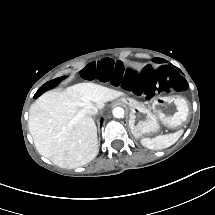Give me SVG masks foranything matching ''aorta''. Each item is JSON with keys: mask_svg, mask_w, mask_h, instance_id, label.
<instances>
[{"mask_svg": "<svg viewBox=\"0 0 215 215\" xmlns=\"http://www.w3.org/2000/svg\"><path fill=\"white\" fill-rule=\"evenodd\" d=\"M112 114H113L114 117L120 118L124 114V109L122 107H115L112 110Z\"/></svg>", "mask_w": 215, "mask_h": 215, "instance_id": "obj_1", "label": "aorta"}]
</instances>
